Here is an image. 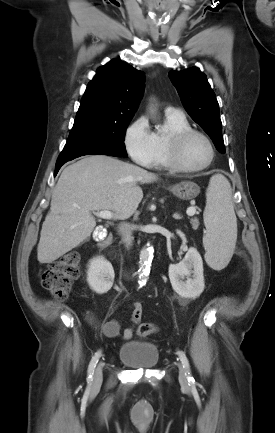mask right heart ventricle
<instances>
[{
    "instance_id": "obj_1",
    "label": "right heart ventricle",
    "mask_w": 275,
    "mask_h": 433,
    "mask_svg": "<svg viewBox=\"0 0 275 433\" xmlns=\"http://www.w3.org/2000/svg\"><path fill=\"white\" fill-rule=\"evenodd\" d=\"M164 125L165 131H154V157L151 163L152 167L157 169H171L167 159V140L178 132L190 129V123L184 115H173L165 113Z\"/></svg>"
}]
</instances>
